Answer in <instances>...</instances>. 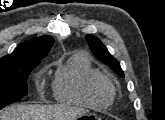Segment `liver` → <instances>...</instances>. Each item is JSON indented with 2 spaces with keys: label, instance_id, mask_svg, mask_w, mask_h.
Masks as SVG:
<instances>
[{
  "label": "liver",
  "instance_id": "liver-1",
  "mask_svg": "<svg viewBox=\"0 0 165 120\" xmlns=\"http://www.w3.org/2000/svg\"><path fill=\"white\" fill-rule=\"evenodd\" d=\"M83 112L81 109L64 106L12 105L0 115V120H62L73 119Z\"/></svg>",
  "mask_w": 165,
  "mask_h": 120
}]
</instances>
